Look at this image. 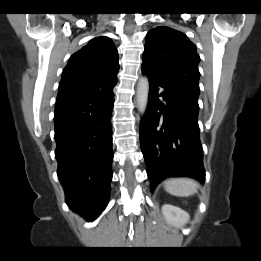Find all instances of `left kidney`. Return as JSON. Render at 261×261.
I'll use <instances>...</instances> for the list:
<instances>
[{"label": "left kidney", "instance_id": "5707ae66", "mask_svg": "<svg viewBox=\"0 0 261 261\" xmlns=\"http://www.w3.org/2000/svg\"><path fill=\"white\" fill-rule=\"evenodd\" d=\"M162 213L167 223L173 226L184 225L190 218L186 211L170 204L162 206Z\"/></svg>", "mask_w": 261, "mask_h": 261}]
</instances>
